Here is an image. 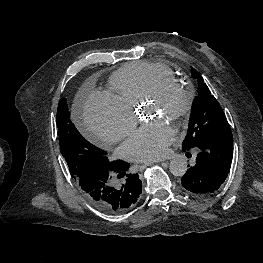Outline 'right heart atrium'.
<instances>
[{"label": "right heart atrium", "instance_id": "1", "mask_svg": "<svg viewBox=\"0 0 263 263\" xmlns=\"http://www.w3.org/2000/svg\"><path fill=\"white\" fill-rule=\"evenodd\" d=\"M84 120L103 146L122 139L135 123L133 111L107 92H95L88 97Z\"/></svg>", "mask_w": 263, "mask_h": 263}]
</instances>
